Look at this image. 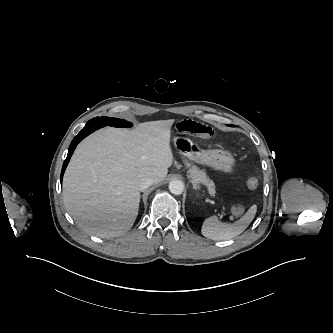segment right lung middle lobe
Returning a JSON list of instances; mask_svg holds the SVG:
<instances>
[{
    "label": "right lung middle lobe",
    "instance_id": "1",
    "mask_svg": "<svg viewBox=\"0 0 333 333\" xmlns=\"http://www.w3.org/2000/svg\"><path fill=\"white\" fill-rule=\"evenodd\" d=\"M88 125H109L114 127H131V123L118 119V118H110V117H95L87 122ZM86 124V125H87Z\"/></svg>",
    "mask_w": 333,
    "mask_h": 333
}]
</instances>
